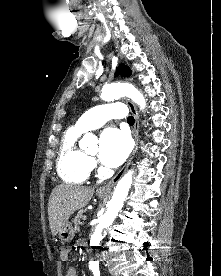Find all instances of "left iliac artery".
I'll return each instance as SVG.
<instances>
[{
  "label": "left iliac artery",
  "mask_w": 221,
  "mask_h": 276,
  "mask_svg": "<svg viewBox=\"0 0 221 276\" xmlns=\"http://www.w3.org/2000/svg\"><path fill=\"white\" fill-rule=\"evenodd\" d=\"M94 276H100V272L98 268L92 269Z\"/></svg>",
  "instance_id": "obj_1"
}]
</instances>
